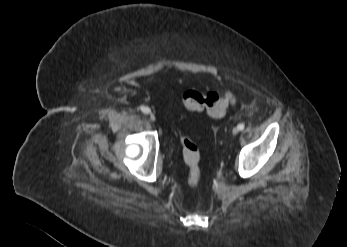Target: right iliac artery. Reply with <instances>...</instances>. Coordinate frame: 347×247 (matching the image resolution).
<instances>
[{
	"mask_svg": "<svg viewBox=\"0 0 347 247\" xmlns=\"http://www.w3.org/2000/svg\"><path fill=\"white\" fill-rule=\"evenodd\" d=\"M141 111H142L143 113L147 114V113L150 112V109H149L148 107H146V106H142V107H141Z\"/></svg>",
	"mask_w": 347,
	"mask_h": 247,
	"instance_id": "obj_1",
	"label": "right iliac artery"
}]
</instances>
